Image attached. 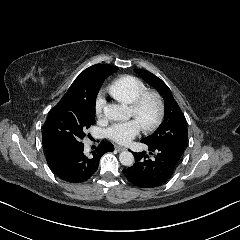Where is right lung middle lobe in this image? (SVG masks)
Returning a JSON list of instances; mask_svg holds the SVG:
<instances>
[{
	"instance_id": "1",
	"label": "right lung middle lobe",
	"mask_w": 240,
	"mask_h": 240,
	"mask_svg": "<svg viewBox=\"0 0 240 240\" xmlns=\"http://www.w3.org/2000/svg\"><path fill=\"white\" fill-rule=\"evenodd\" d=\"M77 97L60 101L49 113L43 127V146L78 145L85 129L95 122V103L100 86L87 85Z\"/></svg>"
}]
</instances>
